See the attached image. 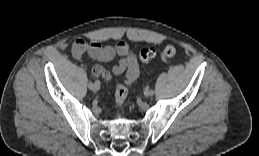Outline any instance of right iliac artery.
Segmentation results:
<instances>
[{
  "instance_id": "obj_1",
  "label": "right iliac artery",
  "mask_w": 259,
  "mask_h": 156,
  "mask_svg": "<svg viewBox=\"0 0 259 156\" xmlns=\"http://www.w3.org/2000/svg\"><path fill=\"white\" fill-rule=\"evenodd\" d=\"M92 86V82H87V87H91Z\"/></svg>"
}]
</instances>
